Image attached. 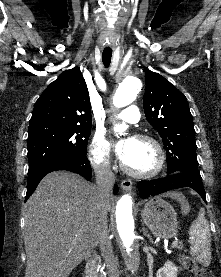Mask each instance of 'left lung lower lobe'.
Here are the masks:
<instances>
[{
  "label": "left lung lower lobe",
  "mask_w": 221,
  "mask_h": 277,
  "mask_svg": "<svg viewBox=\"0 0 221 277\" xmlns=\"http://www.w3.org/2000/svg\"><path fill=\"white\" fill-rule=\"evenodd\" d=\"M182 187H190L194 189L206 202L205 190L202 184L201 177H195L184 172L169 174L161 179H154L151 181H140L138 183V190L141 198L155 196L169 190L178 189Z\"/></svg>",
  "instance_id": "0a47b994"
}]
</instances>
